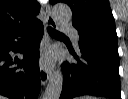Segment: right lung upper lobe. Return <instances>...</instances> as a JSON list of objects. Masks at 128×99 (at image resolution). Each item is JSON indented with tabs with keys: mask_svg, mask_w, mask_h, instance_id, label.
Wrapping results in <instances>:
<instances>
[{
	"mask_svg": "<svg viewBox=\"0 0 128 99\" xmlns=\"http://www.w3.org/2000/svg\"><path fill=\"white\" fill-rule=\"evenodd\" d=\"M39 7L35 0H0V38L33 22Z\"/></svg>",
	"mask_w": 128,
	"mask_h": 99,
	"instance_id": "1",
	"label": "right lung upper lobe"
}]
</instances>
